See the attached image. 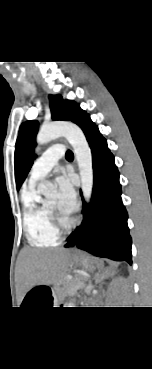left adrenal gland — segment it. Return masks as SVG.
I'll use <instances>...</instances> for the list:
<instances>
[{
  "label": "left adrenal gland",
  "mask_w": 152,
  "mask_h": 369,
  "mask_svg": "<svg viewBox=\"0 0 152 369\" xmlns=\"http://www.w3.org/2000/svg\"><path fill=\"white\" fill-rule=\"evenodd\" d=\"M109 276V272L108 270H106L101 276H99L98 274L96 275V283H99L101 280H103L104 278H107Z\"/></svg>",
  "instance_id": "a2214340"
}]
</instances>
